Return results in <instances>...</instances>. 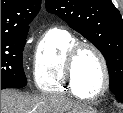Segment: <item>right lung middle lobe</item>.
Listing matches in <instances>:
<instances>
[{
  "mask_svg": "<svg viewBox=\"0 0 123 113\" xmlns=\"http://www.w3.org/2000/svg\"><path fill=\"white\" fill-rule=\"evenodd\" d=\"M26 36L1 38V89L27 85L22 64Z\"/></svg>",
  "mask_w": 123,
  "mask_h": 113,
  "instance_id": "obj_1",
  "label": "right lung middle lobe"
}]
</instances>
